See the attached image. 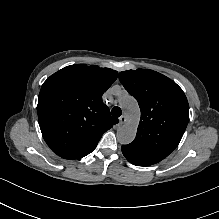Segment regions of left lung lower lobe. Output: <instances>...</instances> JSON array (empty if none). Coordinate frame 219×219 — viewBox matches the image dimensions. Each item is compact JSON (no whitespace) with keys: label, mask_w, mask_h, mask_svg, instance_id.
Instances as JSON below:
<instances>
[{"label":"left lung lower lobe","mask_w":219,"mask_h":219,"mask_svg":"<svg viewBox=\"0 0 219 219\" xmlns=\"http://www.w3.org/2000/svg\"><path fill=\"white\" fill-rule=\"evenodd\" d=\"M122 152L123 155L127 158V160L136 165V166H149L152 165V163H149L147 161L142 160L141 158L137 157L133 153H131L129 150H127L125 147L122 146Z\"/></svg>","instance_id":"0a47b994"}]
</instances>
